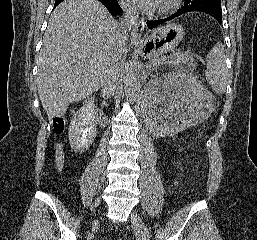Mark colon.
<instances>
[{"label": "colon", "instance_id": "obj_1", "mask_svg": "<svg viewBox=\"0 0 257 240\" xmlns=\"http://www.w3.org/2000/svg\"><path fill=\"white\" fill-rule=\"evenodd\" d=\"M52 125L57 133H61L64 130V120L60 115H54L52 117Z\"/></svg>", "mask_w": 257, "mask_h": 240}]
</instances>
